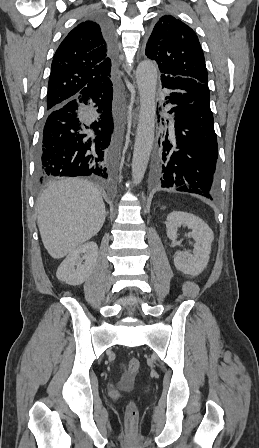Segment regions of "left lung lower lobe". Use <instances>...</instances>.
I'll return each mask as SVG.
<instances>
[{"label": "left lung lower lobe", "instance_id": "obj_1", "mask_svg": "<svg viewBox=\"0 0 259 448\" xmlns=\"http://www.w3.org/2000/svg\"><path fill=\"white\" fill-rule=\"evenodd\" d=\"M161 82L170 90L167 103L176 105L169 111L174 113L175 122L166 132L152 181L158 187L212 199L218 188L219 166L208 85L168 74L161 75Z\"/></svg>", "mask_w": 259, "mask_h": 448}]
</instances>
